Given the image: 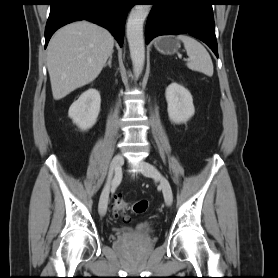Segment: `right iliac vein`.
Segmentation results:
<instances>
[{"label":"right iliac vein","mask_w":278,"mask_h":278,"mask_svg":"<svg viewBox=\"0 0 278 278\" xmlns=\"http://www.w3.org/2000/svg\"><path fill=\"white\" fill-rule=\"evenodd\" d=\"M123 163H124V159H123V156L120 154L116 155L111 162L108 179H107V182L104 186V189H103L100 199H99V213L101 215H105V213L107 211L108 198H109V192H110L113 173L117 169H121Z\"/></svg>","instance_id":"obj_1"}]
</instances>
